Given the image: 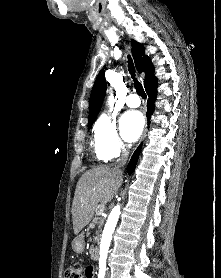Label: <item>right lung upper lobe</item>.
<instances>
[{"mask_svg": "<svg viewBox=\"0 0 221 278\" xmlns=\"http://www.w3.org/2000/svg\"><path fill=\"white\" fill-rule=\"evenodd\" d=\"M132 54L139 73L145 72L144 86L146 87L153 79L154 66L150 58L145 54V48L142 44L132 40ZM107 89V82L104 75V70H101L94 83L90 101H89V124H93L100 109Z\"/></svg>", "mask_w": 221, "mask_h": 278, "instance_id": "cb5924a9", "label": "right lung upper lobe"}]
</instances>
